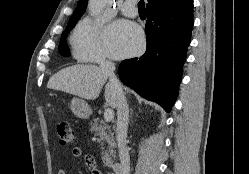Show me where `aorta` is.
<instances>
[{
  "label": "aorta",
  "instance_id": "obj_1",
  "mask_svg": "<svg viewBox=\"0 0 249 174\" xmlns=\"http://www.w3.org/2000/svg\"><path fill=\"white\" fill-rule=\"evenodd\" d=\"M107 0H89L88 9L91 16L96 17L105 8Z\"/></svg>",
  "mask_w": 249,
  "mask_h": 174
}]
</instances>
